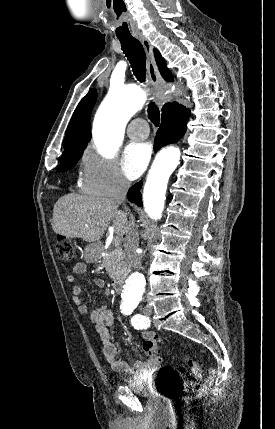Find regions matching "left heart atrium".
Masks as SVG:
<instances>
[{
	"instance_id": "1",
	"label": "left heart atrium",
	"mask_w": 275,
	"mask_h": 429,
	"mask_svg": "<svg viewBox=\"0 0 275 429\" xmlns=\"http://www.w3.org/2000/svg\"><path fill=\"white\" fill-rule=\"evenodd\" d=\"M151 155V147L148 143H130L122 156V169L125 175L134 180L145 170Z\"/></svg>"
}]
</instances>
